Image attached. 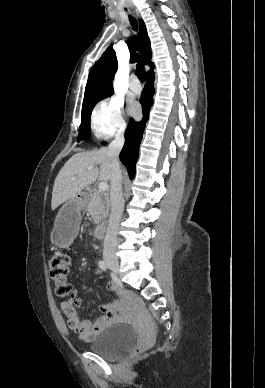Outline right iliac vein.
Here are the masks:
<instances>
[{
    "mask_svg": "<svg viewBox=\"0 0 265 388\" xmlns=\"http://www.w3.org/2000/svg\"><path fill=\"white\" fill-rule=\"evenodd\" d=\"M105 262L107 263L108 267L115 273H119V263L118 260L115 257L112 256H105Z\"/></svg>",
    "mask_w": 265,
    "mask_h": 388,
    "instance_id": "1",
    "label": "right iliac vein"
}]
</instances>
